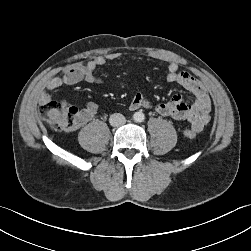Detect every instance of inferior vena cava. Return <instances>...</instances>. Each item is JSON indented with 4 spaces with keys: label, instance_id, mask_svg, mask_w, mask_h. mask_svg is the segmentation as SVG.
Wrapping results in <instances>:
<instances>
[{
    "label": "inferior vena cava",
    "instance_id": "1",
    "mask_svg": "<svg viewBox=\"0 0 251 251\" xmlns=\"http://www.w3.org/2000/svg\"><path fill=\"white\" fill-rule=\"evenodd\" d=\"M109 122L112 126L119 127L126 123V118L120 113H114L110 116Z\"/></svg>",
    "mask_w": 251,
    "mask_h": 251
}]
</instances>
